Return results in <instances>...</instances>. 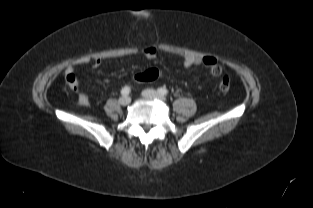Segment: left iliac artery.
Segmentation results:
<instances>
[{"label":"left iliac artery","instance_id":"left-iliac-artery-1","mask_svg":"<svg viewBox=\"0 0 313 208\" xmlns=\"http://www.w3.org/2000/svg\"><path fill=\"white\" fill-rule=\"evenodd\" d=\"M157 91H158L159 94H161L163 96L168 94V90L166 88H164V87L163 88L162 87L158 88Z\"/></svg>","mask_w":313,"mask_h":208}]
</instances>
